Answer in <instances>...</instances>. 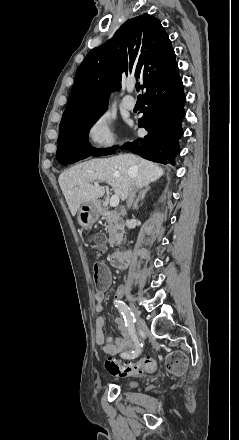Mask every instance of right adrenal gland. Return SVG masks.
<instances>
[{
  "instance_id": "right-adrenal-gland-1",
  "label": "right adrenal gland",
  "mask_w": 239,
  "mask_h": 440,
  "mask_svg": "<svg viewBox=\"0 0 239 440\" xmlns=\"http://www.w3.org/2000/svg\"><path fill=\"white\" fill-rule=\"evenodd\" d=\"M149 190H150V186H144L143 190H141V192H139V196H138L137 200H135L132 210H138V204H139L140 200H143V198H145V196H146L147 192H149Z\"/></svg>"
}]
</instances>
